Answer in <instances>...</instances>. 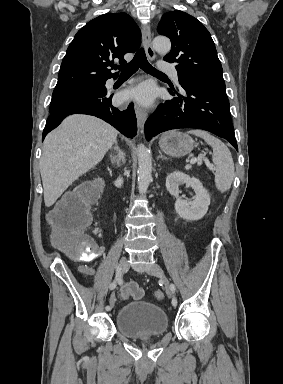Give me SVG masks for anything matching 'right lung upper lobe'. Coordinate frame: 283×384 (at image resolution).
<instances>
[{"label":"right lung upper lobe","mask_w":283,"mask_h":384,"mask_svg":"<svg viewBox=\"0 0 283 384\" xmlns=\"http://www.w3.org/2000/svg\"><path fill=\"white\" fill-rule=\"evenodd\" d=\"M141 33L126 13H107L88 22L75 35L62 61L55 89L73 88L117 78L113 60L125 63L124 54L135 52Z\"/></svg>","instance_id":"cb5924a9"}]
</instances>
